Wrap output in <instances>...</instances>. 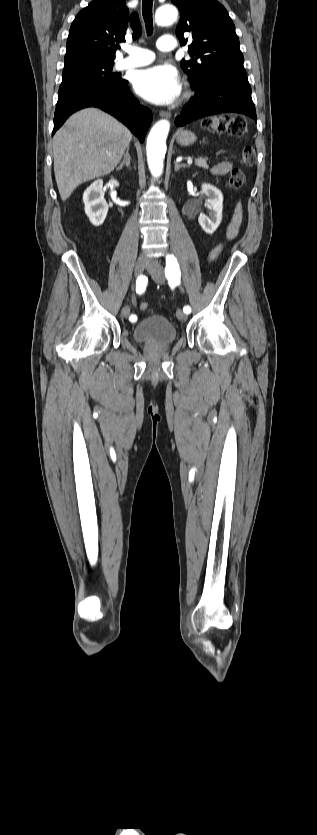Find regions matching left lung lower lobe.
<instances>
[{"mask_svg":"<svg viewBox=\"0 0 317 835\" xmlns=\"http://www.w3.org/2000/svg\"><path fill=\"white\" fill-rule=\"evenodd\" d=\"M192 88L195 95L176 118L177 126L219 113H239L257 120L244 69L217 68L203 83Z\"/></svg>","mask_w":317,"mask_h":835,"instance_id":"0a47b994","label":"left lung lower lobe"}]
</instances>
